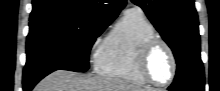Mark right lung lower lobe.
Returning a JSON list of instances; mask_svg holds the SVG:
<instances>
[{
  "label": "right lung lower lobe",
  "instance_id": "98d812e1",
  "mask_svg": "<svg viewBox=\"0 0 220 91\" xmlns=\"http://www.w3.org/2000/svg\"><path fill=\"white\" fill-rule=\"evenodd\" d=\"M53 71H49V73H51ZM48 73V74H49ZM47 74L42 75L40 77L31 79V80H23V90L24 91H31L32 88L43 78L45 77Z\"/></svg>",
  "mask_w": 220,
  "mask_h": 91
}]
</instances>
